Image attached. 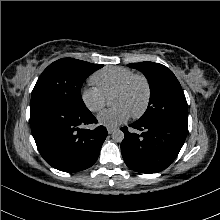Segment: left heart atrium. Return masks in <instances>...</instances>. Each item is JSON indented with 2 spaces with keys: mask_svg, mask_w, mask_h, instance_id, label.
<instances>
[{
  "mask_svg": "<svg viewBox=\"0 0 220 220\" xmlns=\"http://www.w3.org/2000/svg\"><path fill=\"white\" fill-rule=\"evenodd\" d=\"M130 116L131 113L126 107L117 105L102 111L98 115V121L102 125L113 127L126 122Z\"/></svg>",
  "mask_w": 220,
  "mask_h": 220,
  "instance_id": "1",
  "label": "left heart atrium"
}]
</instances>
